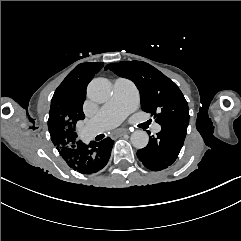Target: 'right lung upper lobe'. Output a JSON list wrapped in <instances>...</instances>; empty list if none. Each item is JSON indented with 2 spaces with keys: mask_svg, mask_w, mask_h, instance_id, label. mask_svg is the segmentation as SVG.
I'll use <instances>...</instances> for the list:
<instances>
[{
  "mask_svg": "<svg viewBox=\"0 0 241 241\" xmlns=\"http://www.w3.org/2000/svg\"><path fill=\"white\" fill-rule=\"evenodd\" d=\"M86 93L77 97L74 109L69 115H62L50 107L48 129L51 140L56 147L74 143L77 138L75 132L76 123L85 118L83 103Z\"/></svg>",
  "mask_w": 241,
  "mask_h": 241,
  "instance_id": "1",
  "label": "right lung upper lobe"
}]
</instances>
